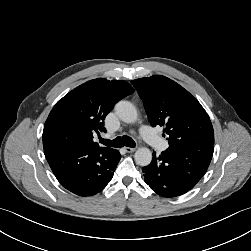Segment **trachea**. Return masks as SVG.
Listing matches in <instances>:
<instances>
[{
    "mask_svg": "<svg viewBox=\"0 0 251 251\" xmlns=\"http://www.w3.org/2000/svg\"><path fill=\"white\" fill-rule=\"evenodd\" d=\"M99 140H100V143L106 146L115 147V148H120L123 146L134 148L136 145L135 141L127 135H124L122 137H117L114 140H108V139H103V138H99Z\"/></svg>",
    "mask_w": 251,
    "mask_h": 251,
    "instance_id": "1",
    "label": "trachea"
}]
</instances>
